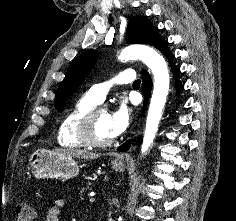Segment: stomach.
<instances>
[{
    "label": "stomach",
    "mask_w": 236,
    "mask_h": 221,
    "mask_svg": "<svg viewBox=\"0 0 236 221\" xmlns=\"http://www.w3.org/2000/svg\"><path fill=\"white\" fill-rule=\"evenodd\" d=\"M29 170L40 178H61L70 179L78 175V162L72 157L61 153L38 150L29 159ZM115 171H123V162H112Z\"/></svg>",
    "instance_id": "stomach-1"
}]
</instances>
